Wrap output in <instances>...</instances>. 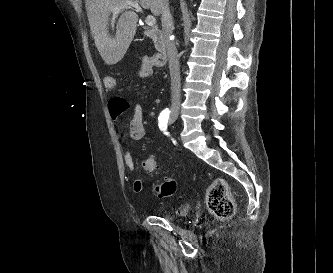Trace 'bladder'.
<instances>
[{
  "label": "bladder",
  "mask_w": 333,
  "mask_h": 273,
  "mask_svg": "<svg viewBox=\"0 0 333 273\" xmlns=\"http://www.w3.org/2000/svg\"><path fill=\"white\" fill-rule=\"evenodd\" d=\"M190 212V207L187 203H181V204H178L176 207H175V211H174V214L172 215H167L166 218L170 219V220H174L178 217H184V216H187Z\"/></svg>",
  "instance_id": "1"
}]
</instances>
